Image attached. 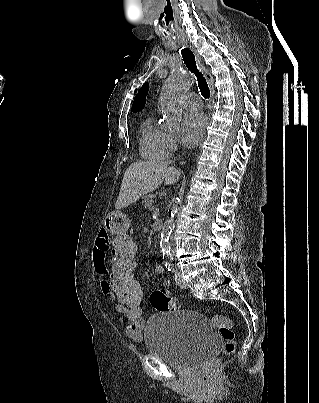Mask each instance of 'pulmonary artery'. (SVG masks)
<instances>
[{
  "label": "pulmonary artery",
  "instance_id": "obj_1",
  "mask_svg": "<svg viewBox=\"0 0 319 403\" xmlns=\"http://www.w3.org/2000/svg\"><path fill=\"white\" fill-rule=\"evenodd\" d=\"M183 104L192 111H197L202 106L200 97L195 93H188L184 96Z\"/></svg>",
  "mask_w": 319,
  "mask_h": 403
}]
</instances>
